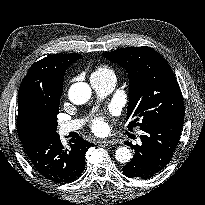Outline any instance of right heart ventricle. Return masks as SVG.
<instances>
[{
	"instance_id": "right-heart-ventricle-1",
	"label": "right heart ventricle",
	"mask_w": 205,
	"mask_h": 205,
	"mask_svg": "<svg viewBox=\"0 0 205 205\" xmlns=\"http://www.w3.org/2000/svg\"><path fill=\"white\" fill-rule=\"evenodd\" d=\"M107 74H114L113 70L105 65H101L95 69V71L92 73V76H103Z\"/></svg>"
}]
</instances>
